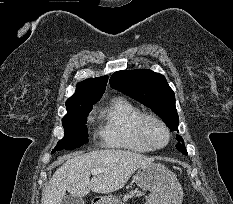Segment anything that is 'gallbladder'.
Listing matches in <instances>:
<instances>
[{"instance_id": "bac80fb5", "label": "gallbladder", "mask_w": 233, "mask_h": 204, "mask_svg": "<svg viewBox=\"0 0 233 204\" xmlns=\"http://www.w3.org/2000/svg\"><path fill=\"white\" fill-rule=\"evenodd\" d=\"M61 204H84V200L81 197L66 195L61 201Z\"/></svg>"}]
</instances>
